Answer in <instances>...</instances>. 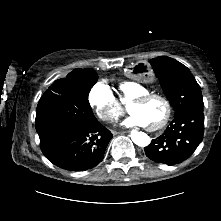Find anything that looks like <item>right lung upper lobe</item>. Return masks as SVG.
<instances>
[{
  "instance_id": "right-lung-upper-lobe-1",
  "label": "right lung upper lobe",
  "mask_w": 221,
  "mask_h": 221,
  "mask_svg": "<svg viewBox=\"0 0 221 221\" xmlns=\"http://www.w3.org/2000/svg\"><path fill=\"white\" fill-rule=\"evenodd\" d=\"M91 70H93V69H75L71 73H69L68 76L69 77L75 76V75L81 74L83 72H90Z\"/></svg>"
}]
</instances>
